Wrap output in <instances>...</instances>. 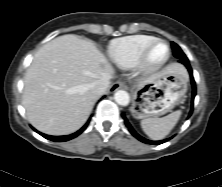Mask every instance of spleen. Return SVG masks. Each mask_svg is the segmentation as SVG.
<instances>
[{
    "instance_id": "1",
    "label": "spleen",
    "mask_w": 222,
    "mask_h": 187,
    "mask_svg": "<svg viewBox=\"0 0 222 187\" xmlns=\"http://www.w3.org/2000/svg\"><path fill=\"white\" fill-rule=\"evenodd\" d=\"M180 116L181 111L177 110L162 118H145L141 121V127L151 139L161 140L175 127Z\"/></svg>"
}]
</instances>
